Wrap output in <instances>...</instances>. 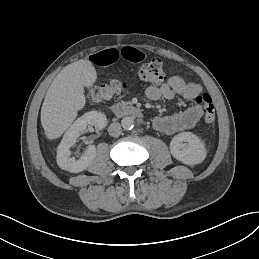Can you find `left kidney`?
Returning <instances> with one entry per match:
<instances>
[{"label":"left kidney","mask_w":259,"mask_h":259,"mask_svg":"<svg viewBox=\"0 0 259 259\" xmlns=\"http://www.w3.org/2000/svg\"><path fill=\"white\" fill-rule=\"evenodd\" d=\"M171 155L187 166L201 164L207 157L205 142L192 132L176 134L170 141Z\"/></svg>","instance_id":"obj_1"}]
</instances>
